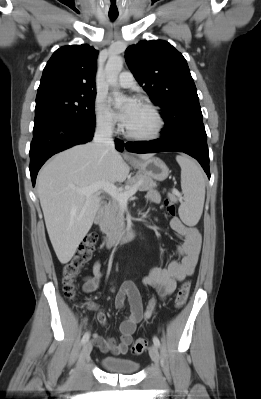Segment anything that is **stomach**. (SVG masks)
<instances>
[{
    "label": "stomach",
    "mask_w": 261,
    "mask_h": 399,
    "mask_svg": "<svg viewBox=\"0 0 261 399\" xmlns=\"http://www.w3.org/2000/svg\"><path fill=\"white\" fill-rule=\"evenodd\" d=\"M132 164L142 174L158 181L165 180L169 175V168L164 161L157 157H151L146 160H135Z\"/></svg>",
    "instance_id": "obj_1"
}]
</instances>
